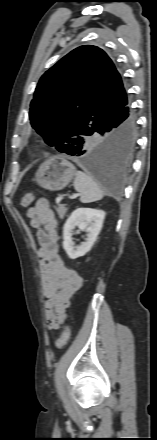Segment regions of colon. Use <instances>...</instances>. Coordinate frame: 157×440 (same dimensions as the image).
Masks as SVG:
<instances>
[{
  "label": "colon",
  "mask_w": 157,
  "mask_h": 440,
  "mask_svg": "<svg viewBox=\"0 0 157 440\" xmlns=\"http://www.w3.org/2000/svg\"><path fill=\"white\" fill-rule=\"evenodd\" d=\"M35 196L32 193L25 194L21 199V205L23 207H28L32 201L34 200ZM70 339V329L67 325L63 327L62 333L60 337L57 339L55 346L57 349L63 348Z\"/></svg>",
  "instance_id": "1"
}]
</instances>
